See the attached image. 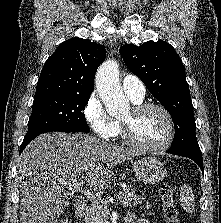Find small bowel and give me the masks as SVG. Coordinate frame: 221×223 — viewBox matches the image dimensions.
I'll list each match as a JSON object with an SVG mask.
<instances>
[{
  "mask_svg": "<svg viewBox=\"0 0 221 223\" xmlns=\"http://www.w3.org/2000/svg\"><path fill=\"white\" fill-rule=\"evenodd\" d=\"M125 223H150V222L145 218H138L134 214L129 213L126 216Z\"/></svg>",
  "mask_w": 221,
  "mask_h": 223,
  "instance_id": "c3829d8e",
  "label": "small bowel"
}]
</instances>
